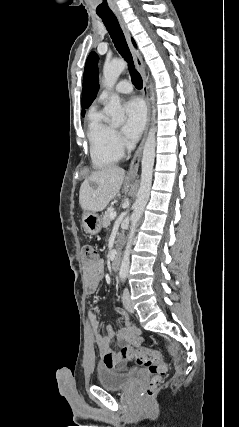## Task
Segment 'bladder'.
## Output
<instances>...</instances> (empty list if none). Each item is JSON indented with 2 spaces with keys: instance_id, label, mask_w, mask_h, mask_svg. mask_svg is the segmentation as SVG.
Masks as SVG:
<instances>
[{
  "instance_id": "obj_1",
  "label": "bladder",
  "mask_w": 239,
  "mask_h": 427,
  "mask_svg": "<svg viewBox=\"0 0 239 427\" xmlns=\"http://www.w3.org/2000/svg\"><path fill=\"white\" fill-rule=\"evenodd\" d=\"M139 376L137 369L127 371H115L99 368L97 372L98 384L110 390H126L130 388Z\"/></svg>"
}]
</instances>
